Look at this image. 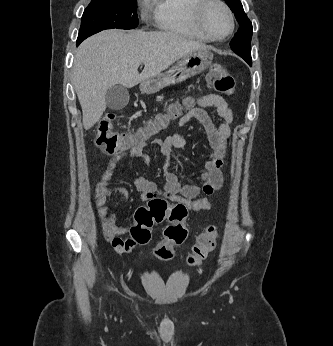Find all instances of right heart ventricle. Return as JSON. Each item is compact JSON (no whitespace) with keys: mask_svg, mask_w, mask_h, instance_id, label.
Listing matches in <instances>:
<instances>
[{"mask_svg":"<svg viewBox=\"0 0 333 346\" xmlns=\"http://www.w3.org/2000/svg\"><path fill=\"white\" fill-rule=\"evenodd\" d=\"M156 26L198 42L210 40L198 27L195 6L199 0H149Z\"/></svg>","mask_w":333,"mask_h":346,"instance_id":"e07e8e85","label":"right heart ventricle"}]
</instances>
